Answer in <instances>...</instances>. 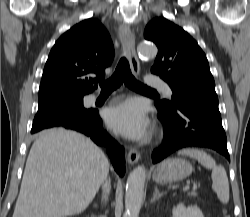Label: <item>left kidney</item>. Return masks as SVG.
<instances>
[{"label": "left kidney", "instance_id": "1", "mask_svg": "<svg viewBox=\"0 0 250 217\" xmlns=\"http://www.w3.org/2000/svg\"><path fill=\"white\" fill-rule=\"evenodd\" d=\"M173 217H204L202 211L197 206L185 207L184 204H178L172 210Z\"/></svg>", "mask_w": 250, "mask_h": 217}]
</instances>
